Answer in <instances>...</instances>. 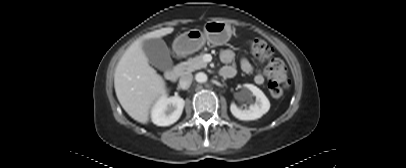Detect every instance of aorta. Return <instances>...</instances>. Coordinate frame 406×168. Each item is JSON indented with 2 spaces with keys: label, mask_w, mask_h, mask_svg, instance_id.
I'll return each mask as SVG.
<instances>
[{
  "label": "aorta",
  "mask_w": 406,
  "mask_h": 168,
  "mask_svg": "<svg viewBox=\"0 0 406 168\" xmlns=\"http://www.w3.org/2000/svg\"><path fill=\"white\" fill-rule=\"evenodd\" d=\"M195 79L199 83H204L207 81V75L203 72L197 73Z\"/></svg>",
  "instance_id": "762f6f07"
}]
</instances>
